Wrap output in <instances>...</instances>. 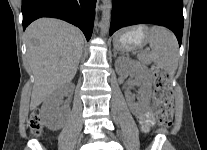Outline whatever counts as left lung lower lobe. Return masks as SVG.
Wrapping results in <instances>:
<instances>
[{
    "mask_svg": "<svg viewBox=\"0 0 207 150\" xmlns=\"http://www.w3.org/2000/svg\"><path fill=\"white\" fill-rule=\"evenodd\" d=\"M155 24L172 30L179 45L183 33L182 0H113L110 35L135 24Z\"/></svg>",
    "mask_w": 207,
    "mask_h": 150,
    "instance_id": "0a47b994",
    "label": "left lung lower lobe"
}]
</instances>
